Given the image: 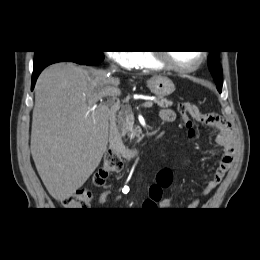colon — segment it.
I'll use <instances>...</instances> for the list:
<instances>
[{"label":"colon","mask_w":260,"mask_h":260,"mask_svg":"<svg viewBox=\"0 0 260 260\" xmlns=\"http://www.w3.org/2000/svg\"><path fill=\"white\" fill-rule=\"evenodd\" d=\"M180 113L185 122L186 127L189 129V136L194 135L192 129V119L199 114L198 107L192 102H183L180 104ZM123 167V162L120 157L109 150L103 162L102 167L95 175V183L99 186L103 185L110 174L119 172ZM173 175L171 170H160L155 178V182L149 188V199L152 202H157L161 199L164 189L169 187L172 183ZM92 202V194L88 190H79L63 199V205L72 210L87 209Z\"/></svg>","instance_id":"5ec220e1"}]
</instances>
